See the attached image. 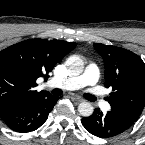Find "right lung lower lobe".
<instances>
[{"instance_id": "1", "label": "right lung lower lobe", "mask_w": 145, "mask_h": 145, "mask_svg": "<svg viewBox=\"0 0 145 145\" xmlns=\"http://www.w3.org/2000/svg\"><path fill=\"white\" fill-rule=\"evenodd\" d=\"M58 99L48 94L36 101L5 108L0 111V119L13 131H34L45 123Z\"/></svg>"}]
</instances>
